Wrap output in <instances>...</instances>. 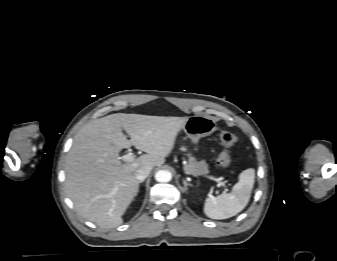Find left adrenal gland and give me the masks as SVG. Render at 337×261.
<instances>
[{
	"label": "left adrenal gland",
	"instance_id": "left-adrenal-gland-1",
	"mask_svg": "<svg viewBox=\"0 0 337 261\" xmlns=\"http://www.w3.org/2000/svg\"><path fill=\"white\" fill-rule=\"evenodd\" d=\"M183 184H184V191H187L188 186H192L191 184L187 183L186 180H183Z\"/></svg>",
	"mask_w": 337,
	"mask_h": 261
}]
</instances>
